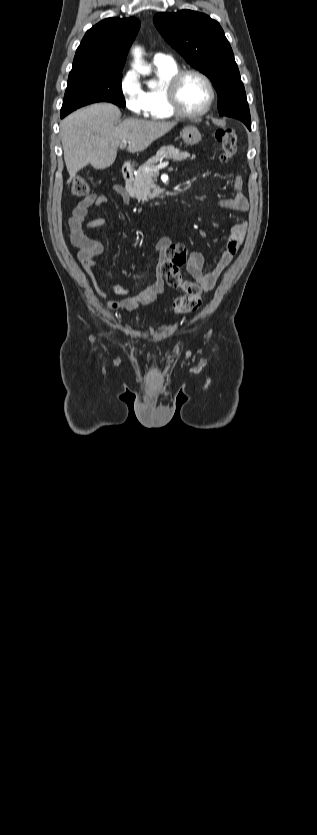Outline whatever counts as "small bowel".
I'll return each instance as SVG.
<instances>
[{
  "instance_id": "small-bowel-1",
  "label": "small bowel",
  "mask_w": 317,
  "mask_h": 835,
  "mask_svg": "<svg viewBox=\"0 0 317 835\" xmlns=\"http://www.w3.org/2000/svg\"><path fill=\"white\" fill-rule=\"evenodd\" d=\"M115 190L122 195L125 202L129 201V198L121 188L115 187ZM233 191V196L220 201V206L238 212H246L249 204L247 197L243 193V182L240 176H237L234 180ZM107 202L108 198L105 195L90 193L75 206L72 216L69 219L70 240L79 248V260L94 279L96 289L101 297L106 299L107 306L111 310L123 309L131 311L145 301L146 293H150L151 295L162 293L165 286V279L158 272L155 281L146 288V291L137 294H133V291L129 288L109 281L107 282L108 287L115 294L124 296V298L119 301L107 299L96 275V257L103 253L104 246L86 234L88 229L101 227L115 230L114 224L105 218L87 220L91 206H101L107 204ZM244 236L245 226L241 223L234 224L230 229L225 249L221 253L215 268L207 273H204L205 261L203 256L198 252H189L187 247L182 243H176L170 238L164 237L157 241L155 249L158 253L159 264L167 260H180L182 265H186L187 272L197 282L202 291L207 292L214 288L223 271L232 262L244 240Z\"/></svg>"
}]
</instances>
